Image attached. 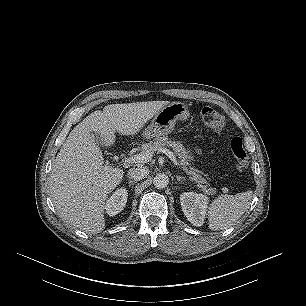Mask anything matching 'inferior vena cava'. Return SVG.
Returning a JSON list of instances; mask_svg holds the SVG:
<instances>
[{
	"mask_svg": "<svg viewBox=\"0 0 306 306\" xmlns=\"http://www.w3.org/2000/svg\"><path fill=\"white\" fill-rule=\"evenodd\" d=\"M149 173V170L142 166L133 167L128 170V178L134 181H139L144 179Z\"/></svg>",
	"mask_w": 306,
	"mask_h": 306,
	"instance_id": "1",
	"label": "inferior vena cava"
}]
</instances>
